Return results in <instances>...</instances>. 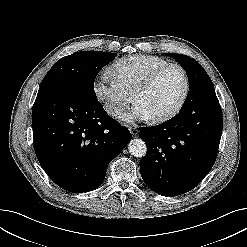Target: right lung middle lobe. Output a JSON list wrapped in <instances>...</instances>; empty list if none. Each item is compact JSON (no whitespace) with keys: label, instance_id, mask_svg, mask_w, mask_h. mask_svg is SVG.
Wrapping results in <instances>:
<instances>
[{"label":"right lung middle lobe","instance_id":"right-lung-middle-lobe-1","mask_svg":"<svg viewBox=\"0 0 247 247\" xmlns=\"http://www.w3.org/2000/svg\"><path fill=\"white\" fill-rule=\"evenodd\" d=\"M116 54L81 51L58 60L48 71L40 88L56 82H76L90 94H95L94 81L98 72L114 60Z\"/></svg>","mask_w":247,"mask_h":247}]
</instances>
